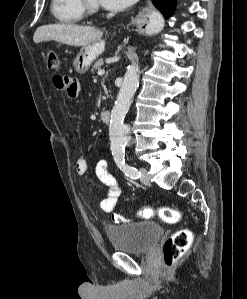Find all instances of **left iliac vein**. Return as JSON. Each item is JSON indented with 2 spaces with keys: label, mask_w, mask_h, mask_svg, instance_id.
Segmentation results:
<instances>
[{
  "label": "left iliac vein",
  "mask_w": 247,
  "mask_h": 299,
  "mask_svg": "<svg viewBox=\"0 0 247 299\" xmlns=\"http://www.w3.org/2000/svg\"><path fill=\"white\" fill-rule=\"evenodd\" d=\"M140 173H141V182L145 185H150L151 181H150V177L148 174V170L146 168H140Z\"/></svg>",
  "instance_id": "obj_1"
}]
</instances>
